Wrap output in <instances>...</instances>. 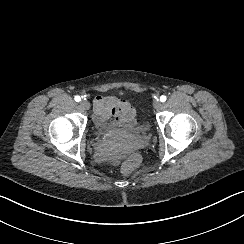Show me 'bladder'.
<instances>
[{"instance_id": "obj_1", "label": "bladder", "mask_w": 244, "mask_h": 244, "mask_svg": "<svg viewBox=\"0 0 244 244\" xmlns=\"http://www.w3.org/2000/svg\"><path fill=\"white\" fill-rule=\"evenodd\" d=\"M139 130L137 132L138 136L144 137L148 133H150V123L149 121L146 122L145 124H139Z\"/></svg>"}]
</instances>
